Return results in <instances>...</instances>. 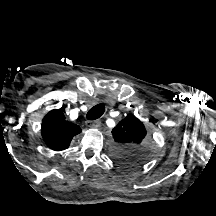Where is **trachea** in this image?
<instances>
[{
  "label": "trachea",
  "instance_id": "1",
  "mask_svg": "<svg viewBox=\"0 0 216 216\" xmlns=\"http://www.w3.org/2000/svg\"><path fill=\"white\" fill-rule=\"evenodd\" d=\"M104 112H105V106L103 104H98V105L92 107L88 111L86 118L88 120H95V119L100 118Z\"/></svg>",
  "mask_w": 216,
  "mask_h": 216
}]
</instances>
